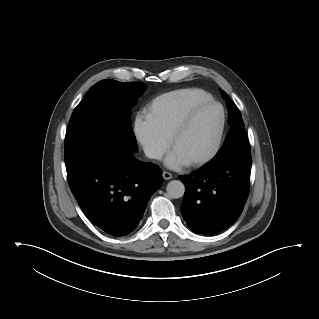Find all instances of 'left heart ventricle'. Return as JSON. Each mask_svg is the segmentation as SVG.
<instances>
[{"instance_id":"1","label":"left heart ventricle","mask_w":319,"mask_h":319,"mask_svg":"<svg viewBox=\"0 0 319 319\" xmlns=\"http://www.w3.org/2000/svg\"><path fill=\"white\" fill-rule=\"evenodd\" d=\"M220 122L218 106L204 107L196 114L188 130L176 140L173 150L187 162L208 155L215 146Z\"/></svg>"}]
</instances>
